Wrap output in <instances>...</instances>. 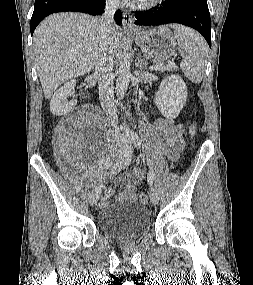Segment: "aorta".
<instances>
[{
    "instance_id": "1",
    "label": "aorta",
    "mask_w": 253,
    "mask_h": 285,
    "mask_svg": "<svg viewBox=\"0 0 253 285\" xmlns=\"http://www.w3.org/2000/svg\"><path fill=\"white\" fill-rule=\"evenodd\" d=\"M131 77V71H130V62L129 57L125 56L123 60H121L118 70V77L116 81V88L115 93L118 98V100L122 99L128 89L129 81ZM124 130L129 132V129L125 126H123Z\"/></svg>"
}]
</instances>
